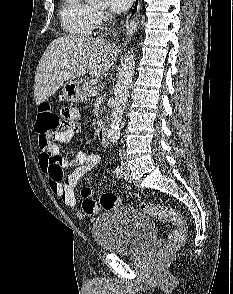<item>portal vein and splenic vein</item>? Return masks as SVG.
Listing matches in <instances>:
<instances>
[{
  "mask_svg": "<svg viewBox=\"0 0 233 294\" xmlns=\"http://www.w3.org/2000/svg\"><path fill=\"white\" fill-rule=\"evenodd\" d=\"M88 92L92 96H96L97 95V91L95 89H90Z\"/></svg>",
  "mask_w": 233,
  "mask_h": 294,
  "instance_id": "portal-vein-and-splenic-vein-1",
  "label": "portal vein and splenic vein"
}]
</instances>
